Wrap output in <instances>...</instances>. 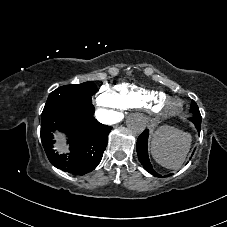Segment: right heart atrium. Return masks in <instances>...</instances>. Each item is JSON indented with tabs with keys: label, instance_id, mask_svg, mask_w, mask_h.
<instances>
[{
	"label": "right heart atrium",
	"instance_id": "1",
	"mask_svg": "<svg viewBox=\"0 0 227 227\" xmlns=\"http://www.w3.org/2000/svg\"><path fill=\"white\" fill-rule=\"evenodd\" d=\"M96 106L108 114H116L121 110L112 90L108 86H102L97 92Z\"/></svg>",
	"mask_w": 227,
	"mask_h": 227
}]
</instances>
